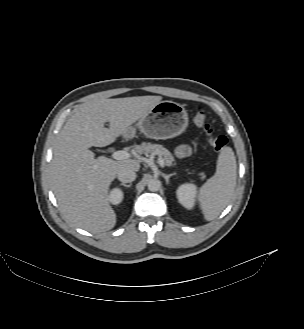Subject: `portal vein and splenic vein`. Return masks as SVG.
Masks as SVG:
<instances>
[{"instance_id": "18ae733b", "label": "portal vein and splenic vein", "mask_w": 304, "mask_h": 329, "mask_svg": "<svg viewBox=\"0 0 304 329\" xmlns=\"http://www.w3.org/2000/svg\"><path fill=\"white\" fill-rule=\"evenodd\" d=\"M130 157H131V154L124 150H118V151H115L112 153V158L115 160H126V159H129ZM158 162L161 167H164L165 162L162 157L158 158Z\"/></svg>"}]
</instances>
